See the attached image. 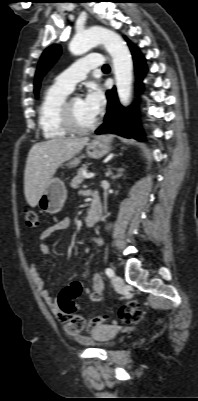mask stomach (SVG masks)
<instances>
[{"label":"stomach","mask_w":198,"mask_h":401,"mask_svg":"<svg viewBox=\"0 0 198 401\" xmlns=\"http://www.w3.org/2000/svg\"><path fill=\"white\" fill-rule=\"evenodd\" d=\"M111 150L109 139L97 137L90 141L86 147V153L91 158H101ZM81 157H75L68 167H75L80 163ZM67 198V189L63 181L59 178H51L47 188L38 201V207L49 214H55L62 210Z\"/></svg>","instance_id":"obj_1"}]
</instances>
